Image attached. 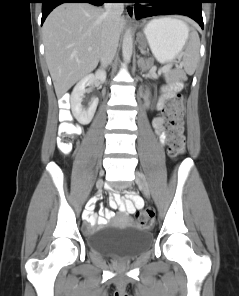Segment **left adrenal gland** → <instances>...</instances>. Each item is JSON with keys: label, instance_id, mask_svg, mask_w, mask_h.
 Listing matches in <instances>:
<instances>
[{"label": "left adrenal gland", "instance_id": "left-adrenal-gland-1", "mask_svg": "<svg viewBox=\"0 0 239 296\" xmlns=\"http://www.w3.org/2000/svg\"><path fill=\"white\" fill-rule=\"evenodd\" d=\"M143 48H144V47H142L141 45L139 46L140 52H141L142 54L145 53V51H144ZM142 63H143V60H142V59H139V61H138V66H139V67H142V66H143Z\"/></svg>", "mask_w": 239, "mask_h": 296}]
</instances>
